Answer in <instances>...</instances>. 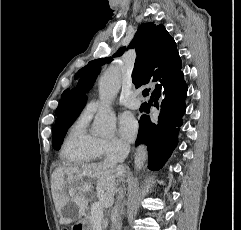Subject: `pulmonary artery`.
<instances>
[{"mask_svg":"<svg viewBox=\"0 0 241 230\" xmlns=\"http://www.w3.org/2000/svg\"><path fill=\"white\" fill-rule=\"evenodd\" d=\"M123 104L131 109H138L141 105V102L134 96L128 97L123 100ZM100 106V102L98 100H92L87 105L85 110L94 113Z\"/></svg>","mask_w":241,"mask_h":230,"instance_id":"pulmonary-artery-1","label":"pulmonary artery"}]
</instances>
